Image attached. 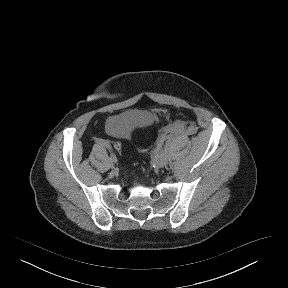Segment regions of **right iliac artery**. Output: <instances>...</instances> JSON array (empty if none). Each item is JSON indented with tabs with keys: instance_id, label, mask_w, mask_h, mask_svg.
Returning <instances> with one entry per match:
<instances>
[{
	"instance_id": "82829eb1",
	"label": "right iliac artery",
	"mask_w": 288,
	"mask_h": 288,
	"mask_svg": "<svg viewBox=\"0 0 288 288\" xmlns=\"http://www.w3.org/2000/svg\"><path fill=\"white\" fill-rule=\"evenodd\" d=\"M95 141H96V143H98L100 145H103L104 147H106L110 151V160L112 162H117V157L114 154L113 148H112L111 144L108 141H106L104 139H100V138H96Z\"/></svg>"
}]
</instances>
